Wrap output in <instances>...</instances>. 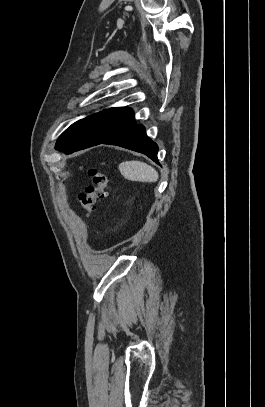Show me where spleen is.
Here are the masks:
<instances>
[{"instance_id": "obj_1", "label": "spleen", "mask_w": 265, "mask_h": 407, "mask_svg": "<svg viewBox=\"0 0 265 407\" xmlns=\"http://www.w3.org/2000/svg\"><path fill=\"white\" fill-rule=\"evenodd\" d=\"M119 170L124 178L131 181L156 182L159 178L153 167L141 161L122 162Z\"/></svg>"}]
</instances>
